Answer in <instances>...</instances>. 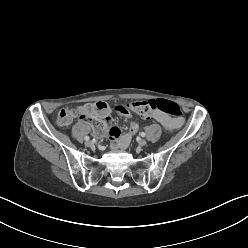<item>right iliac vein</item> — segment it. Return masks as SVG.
Segmentation results:
<instances>
[{
  "label": "right iliac vein",
  "instance_id": "right-iliac-vein-1",
  "mask_svg": "<svg viewBox=\"0 0 248 248\" xmlns=\"http://www.w3.org/2000/svg\"><path fill=\"white\" fill-rule=\"evenodd\" d=\"M85 145H86L87 147H91V146L93 145V142L90 141V140H87V141L85 142Z\"/></svg>",
  "mask_w": 248,
  "mask_h": 248
}]
</instances>
